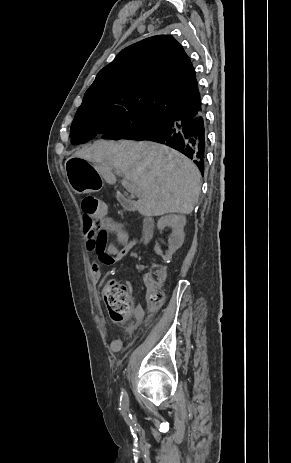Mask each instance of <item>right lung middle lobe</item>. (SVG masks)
Segmentation results:
<instances>
[{"mask_svg": "<svg viewBox=\"0 0 291 463\" xmlns=\"http://www.w3.org/2000/svg\"><path fill=\"white\" fill-rule=\"evenodd\" d=\"M165 115L127 103H112L78 109L70 129L72 144L103 138L136 139L160 126Z\"/></svg>", "mask_w": 291, "mask_h": 463, "instance_id": "obj_1", "label": "right lung middle lobe"}]
</instances>
